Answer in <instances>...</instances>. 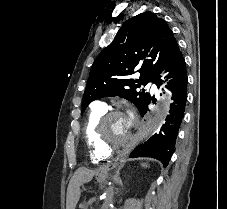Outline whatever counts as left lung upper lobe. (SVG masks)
Returning <instances> with one entry per match:
<instances>
[{
    "label": "left lung upper lobe",
    "instance_id": "5c2ea615",
    "mask_svg": "<svg viewBox=\"0 0 227 209\" xmlns=\"http://www.w3.org/2000/svg\"><path fill=\"white\" fill-rule=\"evenodd\" d=\"M179 52L173 32L155 13L146 11L128 19L92 65L82 113L91 101L116 95L134 103L141 112L151 97L136 89L150 81L157 85ZM135 68H140V78L128 79Z\"/></svg>",
    "mask_w": 227,
    "mask_h": 209
}]
</instances>
